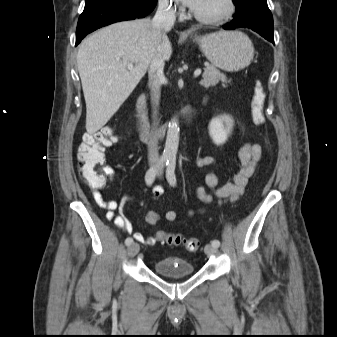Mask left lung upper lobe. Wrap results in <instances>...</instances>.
<instances>
[{"mask_svg": "<svg viewBox=\"0 0 337 337\" xmlns=\"http://www.w3.org/2000/svg\"><path fill=\"white\" fill-rule=\"evenodd\" d=\"M236 6L234 18L248 14H260L266 19H273L266 0H233Z\"/></svg>", "mask_w": 337, "mask_h": 337, "instance_id": "left-lung-upper-lobe-1", "label": "left lung upper lobe"}]
</instances>
